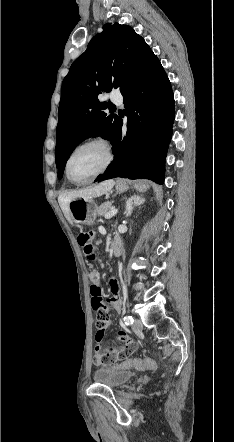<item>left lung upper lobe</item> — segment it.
I'll return each mask as SVG.
<instances>
[{"label": "left lung upper lobe", "mask_w": 234, "mask_h": 442, "mask_svg": "<svg viewBox=\"0 0 234 442\" xmlns=\"http://www.w3.org/2000/svg\"><path fill=\"white\" fill-rule=\"evenodd\" d=\"M153 54L130 26L107 23L77 58L64 78L56 129V166L62 178L65 164L82 141L101 136L113 144L120 118L107 115L101 92H122L141 73Z\"/></svg>", "instance_id": "left-lung-upper-lobe-1"}]
</instances>
